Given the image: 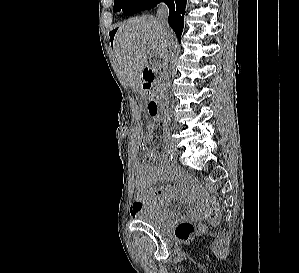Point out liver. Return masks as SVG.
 <instances>
[{
    "instance_id": "6515ba94",
    "label": "liver",
    "mask_w": 299,
    "mask_h": 273,
    "mask_svg": "<svg viewBox=\"0 0 299 273\" xmlns=\"http://www.w3.org/2000/svg\"><path fill=\"white\" fill-rule=\"evenodd\" d=\"M172 30L163 32L156 17L141 16L121 24L114 38L113 52L119 71L134 91L139 89L140 75L148 65V55L162 59L167 40L173 44Z\"/></svg>"
}]
</instances>
